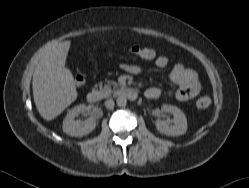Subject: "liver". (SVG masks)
<instances>
[{"label": "liver", "mask_w": 249, "mask_h": 188, "mask_svg": "<svg viewBox=\"0 0 249 188\" xmlns=\"http://www.w3.org/2000/svg\"><path fill=\"white\" fill-rule=\"evenodd\" d=\"M71 41L53 45L37 64L32 80L33 96L39 114L53 120L77 98L72 73L65 67Z\"/></svg>", "instance_id": "obj_1"}]
</instances>
